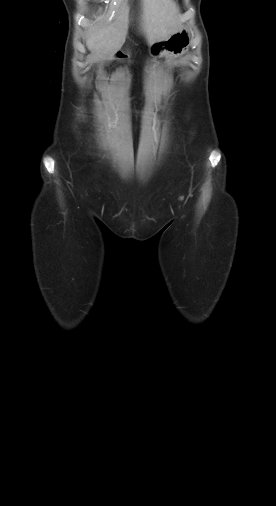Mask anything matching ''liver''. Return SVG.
Returning a JSON list of instances; mask_svg holds the SVG:
<instances>
[{
    "instance_id": "6515ba94",
    "label": "liver",
    "mask_w": 276,
    "mask_h": 506,
    "mask_svg": "<svg viewBox=\"0 0 276 506\" xmlns=\"http://www.w3.org/2000/svg\"><path fill=\"white\" fill-rule=\"evenodd\" d=\"M140 25L149 44L166 39L179 29L182 20L174 0H142ZM86 34V46L99 58L120 49L128 31V8L124 6L113 22L98 17Z\"/></svg>"
}]
</instances>
